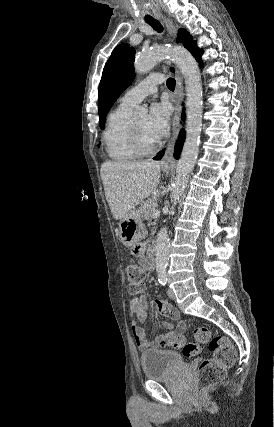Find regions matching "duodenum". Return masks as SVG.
<instances>
[{"label":"duodenum","instance_id":"1","mask_svg":"<svg viewBox=\"0 0 274 427\" xmlns=\"http://www.w3.org/2000/svg\"><path fill=\"white\" fill-rule=\"evenodd\" d=\"M149 260L154 264V257L156 255V246L151 245L148 250Z\"/></svg>","mask_w":274,"mask_h":427}]
</instances>
